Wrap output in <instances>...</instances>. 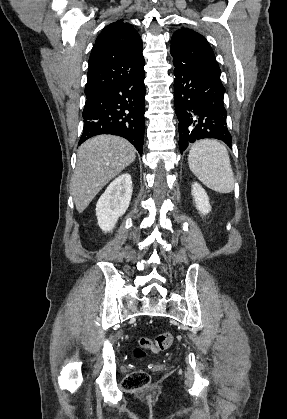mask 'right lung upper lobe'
<instances>
[{"label": "right lung upper lobe", "instance_id": "1", "mask_svg": "<svg viewBox=\"0 0 287 419\" xmlns=\"http://www.w3.org/2000/svg\"><path fill=\"white\" fill-rule=\"evenodd\" d=\"M142 40L134 27L118 20L99 34L89 58L87 98L144 70Z\"/></svg>", "mask_w": 287, "mask_h": 419}]
</instances>
